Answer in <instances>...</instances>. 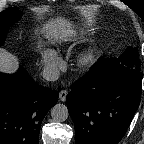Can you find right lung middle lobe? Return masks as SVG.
Segmentation results:
<instances>
[{"mask_svg":"<svg viewBox=\"0 0 144 144\" xmlns=\"http://www.w3.org/2000/svg\"><path fill=\"white\" fill-rule=\"evenodd\" d=\"M21 15V11H19L16 7L9 8L0 13V46L5 40V34L8 30V26L19 20Z\"/></svg>","mask_w":144,"mask_h":144,"instance_id":"right-lung-middle-lobe-1","label":"right lung middle lobe"}]
</instances>
